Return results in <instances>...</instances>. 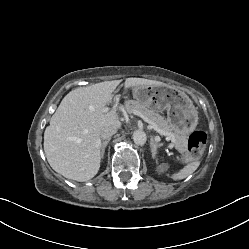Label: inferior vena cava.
I'll return each instance as SVG.
<instances>
[{"label":"inferior vena cava","instance_id":"inferior-vena-cava-1","mask_svg":"<svg viewBox=\"0 0 249 249\" xmlns=\"http://www.w3.org/2000/svg\"><path fill=\"white\" fill-rule=\"evenodd\" d=\"M117 132V127L114 125H106L104 126L100 131V138L110 139L112 135H114Z\"/></svg>","mask_w":249,"mask_h":249}]
</instances>
